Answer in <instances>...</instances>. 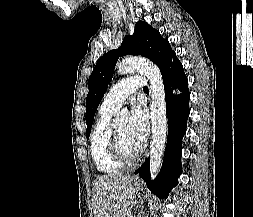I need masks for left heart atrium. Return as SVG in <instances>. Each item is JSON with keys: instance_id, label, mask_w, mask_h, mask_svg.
<instances>
[{"instance_id": "39dd6f15", "label": "left heart atrium", "mask_w": 253, "mask_h": 217, "mask_svg": "<svg viewBox=\"0 0 253 217\" xmlns=\"http://www.w3.org/2000/svg\"><path fill=\"white\" fill-rule=\"evenodd\" d=\"M149 131V122L144 110L139 105H134L128 123V132L131 138L140 146Z\"/></svg>"}]
</instances>
